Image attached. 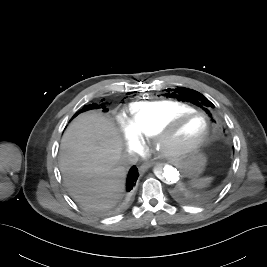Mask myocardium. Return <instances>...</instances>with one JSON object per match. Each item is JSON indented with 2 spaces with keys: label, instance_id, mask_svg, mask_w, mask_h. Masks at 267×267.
<instances>
[{
  "label": "myocardium",
  "instance_id": "1",
  "mask_svg": "<svg viewBox=\"0 0 267 267\" xmlns=\"http://www.w3.org/2000/svg\"><path fill=\"white\" fill-rule=\"evenodd\" d=\"M191 116H201L204 119L205 127L202 135L196 140L177 144L172 141L174 129L184 120ZM210 120L207 114L201 110H190L173 116L164 122L153 136L154 147L168 159H178L197 151L208 139L210 134Z\"/></svg>",
  "mask_w": 267,
  "mask_h": 267
}]
</instances>
